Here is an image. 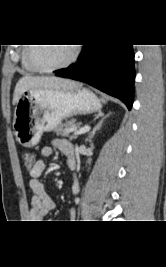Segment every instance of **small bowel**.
<instances>
[{"instance_id": "obj_1", "label": "small bowel", "mask_w": 166, "mask_h": 267, "mask_svg": "<svg viewBox=\"0 0 166 267\" xmlns=\"http://www.w3.org/2000/svg\"><path fill=\"white\" fill-rule=\"evenodd\" d=\"M57 148L61 151L69 164L73 166L75 159L74 145L72 142L66 139H55L52 145L45 146L41 149L40 154L43 157H50L53 153V149ZM46 169V164L42 160H37L33 167L30 168V181L29 186L33 192L31 199V207L29 210V217L33 221H40L46 217L56 207L54 200L48 195L44 184L41 181V176ZM79 187L78 180L75 177L73 183V192H77ZM67 220H73L75 218V211L73 209L68 210ZM71 222V221H66Z\"/></svg>"}]
</instances>
